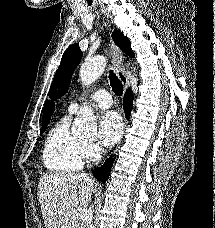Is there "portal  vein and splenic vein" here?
Segmentation results:
<instances>
[{
	"instance_id": "1",
	"label": "portal vein and splenic vein",
	"mask_w": 215,
	"mask_h": 228,
	"mask_svg": "<svg viewBox=\"0 0 215 228\" xmlns=\"http://www.w3.org/2000/svg\"><path fill=\"white\" fill-rule=\"evenodd\" d=\"M89 218H90L89 210H81L79 214V220H82V222H85V220H89Z\"/></svg>"
}]
</instances>
